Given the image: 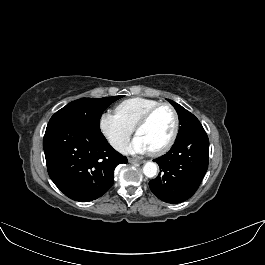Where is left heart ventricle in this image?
<instances>
[{"instance_id": "1", "label": "left heart ventricle", "mask_w": 265, "mask_h": 265, "mask_svg": "<svg viewBox=\"0 0 265 265\" xmlns=\"http://www.w3.org/2000/svg\"><path fill=\"white\" fill-rule=\"evenodd\" d=\"M173 125L172 112L163 108L157 111L149 122L138 130L137 136L144 141L149 150H153L167 141L173 130Z\"/></svg>"}]
</instances>
